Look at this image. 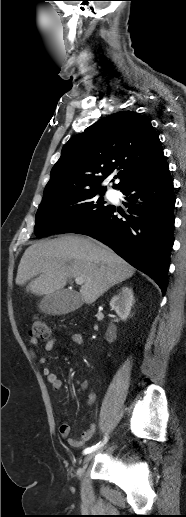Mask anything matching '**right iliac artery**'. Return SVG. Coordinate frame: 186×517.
Instances as JSON below:
<instances>
[{"label":"right iliac artery","mask_w":186,"mask_h":517,"mask_svg":"<svg viewBox=\"0 0 186 517\" xmlns=\"http://www.w3.org/2000/svg\"><path fill=\"white\" fill-rule=\"evenodd\" d=\"M106 441H107V438H105V440H104L103 442L98 443V444H96L95 446H92V447H88V448H86V449L83 451V453H84V454H89V453H91V452L95 451L96 449H98V448H100L101 446H103V444H104Z\"/></svg>","instance_id":"82829eb1"}]
</instances>
